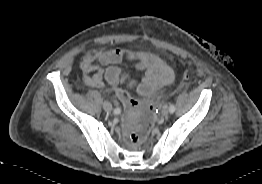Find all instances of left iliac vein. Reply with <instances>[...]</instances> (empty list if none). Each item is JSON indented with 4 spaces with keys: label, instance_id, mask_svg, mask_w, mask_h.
<instances>
[{
    "label": "left iliac vein",
    "instance_id": "4c4485c4",
    "mask_svg": "<svg viewBox=\"0 0 262 184\" xmlns=\"http://www.w3.org/2000/svg\"><path fill=\"white\" fill-rule=\"evenodd\" d=\"M169 114V108L167 106H164L161 110L162 116H167Z\"/></svg>",
    "mask_w": 262,
    "mask_h": 184
}]
</instances>
